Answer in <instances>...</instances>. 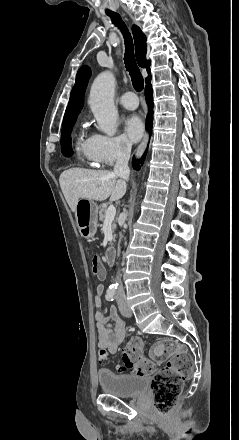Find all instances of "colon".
<instances>
[{"label":"colon","mask_w":239,"mask_h":440,"mask_svg":"<svg viewBox=\"0 0 239 440\" xmlns=\"http://www.w3.org/2000/svg\"><path fill=\"white\" fill-rule=\"evenodd\" d=\"M93 275L98 279L105 277V271L100 259L94 256L91 260ZM102 363L108 361L106 351H100ZM152 358L164 366L156 371L153 361L143 356V343L138 337L132 338L125 346L122 354L124 366H118L117 371L130 369L138 375L153 374L152 399L153 405L159 414H166L175 406L182 391L184 381L193 370V361L189 352L179 343L172 340H163L155 344Z\"/></svg>","instance_id":"5ec220e1"}]
</instances>
